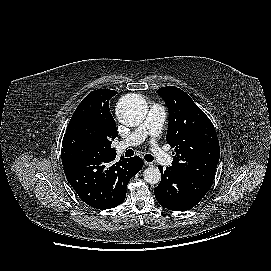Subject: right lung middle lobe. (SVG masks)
<instances>
[{
    "mask_svg": "<svg viewBox=\"0 0 271 271\" xmlns=\"http://www.w3.org/2000/svg\"><path fill=\"white\" fill-rule=\"evenodd\" d=\"M104 123L84 116L71 119L62 141V151L74 150L101 153Z\"/></svg>",
    "mask_w": 271,
    "mask_h": 271,
    "instance_id": "1",
    "label": "right lung middle lobe"
}]
</instances>
